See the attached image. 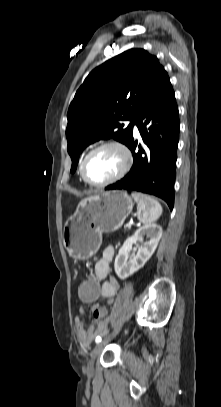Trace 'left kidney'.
Masks as SVG:
<instances>
[{"label":"left kidney","instance_id":"1","mask_svg":"<svg viewBox=\"0 0 221 407\" xmlns=\"http://www.w3.org/2000/svg\"><path fill=\"white\" fill-rule=\"evenodd\" d=\"M145 235L149 238V241L139 248L136 256L128 260L132 245L138 241L142 242ZM161 236V226L147 224L136 230L133 236L127 238L115 258L114 268L117 276L124 280L142 268L155 252Z\"/></svg>","mask_w":221,"mask_h":407}]
</instances>
